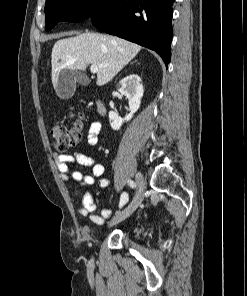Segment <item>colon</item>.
<instances>
[{
    "label": "colon",
    "instance_id": "5ec220e1",
    "mask_svg": "<svg viewBox=\"0 0 247 296\" xmlns=\"http://www.w3.org/2000/svg\"><path fill=\"white\" fill-rule=\"evenodd\" d=\"M82 115L72 125L64 122H58L53 125L51 135L53 140V148L56 152H64L74 147L80 140L82 129Z\"/></svg>",
    "mask_w": 247,
    "mask_h": 296
}]
</instances>
